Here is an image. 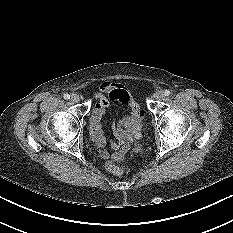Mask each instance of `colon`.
<instances>
[{
    "label": "colon",
    "mask_w": 233,
    "mask_h": 233,
    "mask_svg": "<svg viewBox=\"0 0 233 233\" xmlns=\"http://www.w3.org/2000/svg\"><path fill=\"white\" fill-rule=\"evenodd\" d=\"M107 169L112 172L113 174H121L123 173L124 169L121 167L117 161L110 160L106 164Z\"/></svg>",
    "instance_id": "1"
}]
</instances>
